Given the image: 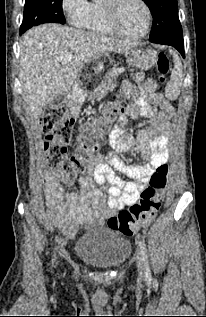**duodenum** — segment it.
Instances as JSON below:
<instances>
[{"mask_svg": "<svg viewBox=\"0 0 206 317\" xmlns=\"http://www.w3.org/2000/svg\"><path fill=\"white\" fill-rule=\"evenodd\" d=\"M67 109L69 115H80L81 113V101L80 100H69L67 102Z\"/></svg>", "mask_w": 206, "mask_h": 317, "instance_id": "410a0bca", "label": "duodenum"}]
</instances>
